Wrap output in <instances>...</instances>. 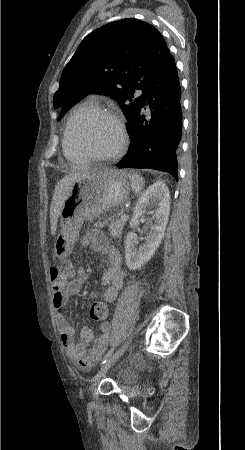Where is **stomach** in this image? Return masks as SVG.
Returning <instances> with one entry per match:
<instances>
[{
    "label": "stomach",
    "mask_w": 245,
    "mask_h": 450,
    "mask_svg": "<svg viewBox=\"0 0 245 450\" xmlns=\"http://www.w3.org/2000/svg\"><path fill=\"white\" fill-rule=\"evenodd\" d=\"M131 188L127 175L107 168L94 169L77 179L66 194L60 213L61 230L54 243V254L65 260L85 220H94L125 202Z\"/></svg>",
    "instance_id": "stomach-1"
}]
</instances>
